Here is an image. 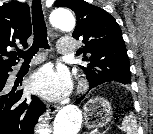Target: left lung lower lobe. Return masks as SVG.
I'll list each match as a JSON object with an SVG mask.
<instances>
[{"label": "left lung lower lobe", "instance_id": "obj_1", "mask_svg": "<svg viewBox=\"0 0 153 134\" xmlns=\"http://www.w3.org/2000/svg\"><path fill=\"white\" fill-rule=\"evenodd\" d=\"M94 87H96V86H90V89H92V88H94ZM83 98H84V96H82L81 98H79V99L76 101V103H79Z\"/></svg>", "mask_w": 153, "mask_h": 134}]
</instances>
